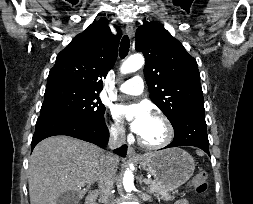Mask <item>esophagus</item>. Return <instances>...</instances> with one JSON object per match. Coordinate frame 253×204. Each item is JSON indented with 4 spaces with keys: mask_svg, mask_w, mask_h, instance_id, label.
<instances>
[{
    "mask_svg": "<svg viewBox=\"0 0 253 204\" xmlns=\"http://www.w3.org/2000/svg\"><path fill=\"white\" fill-rule=\"evenodd\" d=\"M134 25L132 22L127 23L126 25V33L128 36L133 34ZM127 154L129 157L138 158L139 155L136 153L135 149L132 146H128Z\"/></svg>",
    "mask_w": 253,
    "mask_h": 204,
    "instance_id": "obj_1",
    "label": "esophagus"
}]
</instances>
